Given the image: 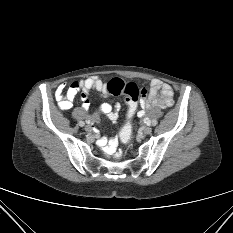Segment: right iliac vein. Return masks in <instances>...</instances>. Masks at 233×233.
<instances>
[{
	"instance_id": "obj_1",
	"label": "right iliac vein",
	"mask_w": 233,
	"mask_h": 233,
	"mask_svg": "<svg viewBox=\"0 0 233 233\" xmlns=\"http://www.w3.org/2000/svg\"><path fill=\"white\" fill-rule=\"evenodd\" d=\"M85 130H86L87 132H92V127H91L90 125H86V126H85Z\"/></svg>"
}]
</instances>
